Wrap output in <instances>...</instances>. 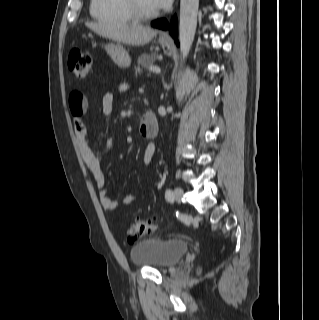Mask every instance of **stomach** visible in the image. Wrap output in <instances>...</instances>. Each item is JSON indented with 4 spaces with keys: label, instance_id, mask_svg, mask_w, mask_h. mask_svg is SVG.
Wrapping results in <instances>:
<instances>
[{
    "label": "stomach",
    "instance_id": "0dacf381",
    "mask_svg": "<svg viewBox=\"0 0 319 320\" xmlns=\"http://www.w3.org/2000/svg\"><path fill=\"white\" fill-rule=\"evenodd\" d=\"M159 43L162 46L164 53L167 55H171V41L160 37ZM104 48L112 61L119 67L128 68L131 65V58L121 43H108L104 46Z\"/></svg>",
    "mask_w": 319,
    "mask_h": 320
}]
</instances>
